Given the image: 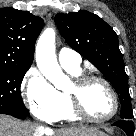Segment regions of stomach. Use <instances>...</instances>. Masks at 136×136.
Here are the masks:
<instances>
[{"mask_svg":"<svg viewBox=\"0 0 136 136\" xmlns=\"http://www.w3.org/2000/svg\"><path fill=\"white\" fill-rule=\"evenodd\" d=\"M102 131L98 132L97 134H94L92 136H107L106 134L101 133Z\"/></svg>","mask_w":136,"mask_h":136,"instance_id":"1","label":"stomach"}]
</instances>
